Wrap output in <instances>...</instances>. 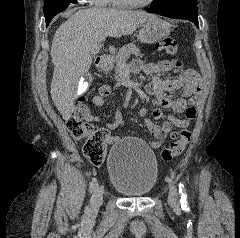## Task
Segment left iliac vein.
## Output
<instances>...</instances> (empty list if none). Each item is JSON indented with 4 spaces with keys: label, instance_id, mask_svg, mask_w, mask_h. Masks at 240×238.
I'll return each instance as SVG.
<instances>
[{
    "label": "left iliac vein",
    "instance_id": "obj_1",
    "mask_svg": "<svg viewBox=\"0 0 240 238\" xmlns=\"http://www.w3.org/2000/svg\"><path fill=\"white\" fill-rule=\"evenodd\" d=\"M168 202L174 209H179L180 207L179 193L175 185L170 186Z\"/></svg>",
    "mask_w": 240,
    "mask_h": 238
}]
</instances>
